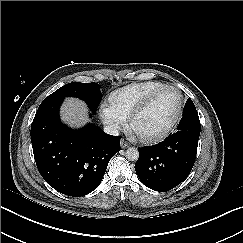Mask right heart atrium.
I'll return each instance as SVG.
<instances>
[{"label":"right heart atrium","mask_w":243,"mask_h":243,"mask_svg":"<svg viewBox=\"0 0 243 243\" xmlns=\"http://www.w3.org/2000/svg\"><path fill=\"white\" fill-rule=\"evenodd\" d=\"M101 119L112 131H117L124 125V118L114 113L110 107L103 106L101 109Z\"/></svg>","instance_id":"d8ad5b80"}]
</instances>
